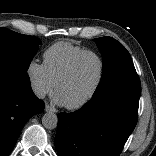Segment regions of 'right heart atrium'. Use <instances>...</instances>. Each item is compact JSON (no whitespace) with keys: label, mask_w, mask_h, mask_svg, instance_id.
Here are the masks:
<instances>
[{"label":"right heart atrium","mask_w":156,"mask_h":156,"mask_svg":"<svg viewBox=\"0 0 156 156\" xmlns=\"http://www.w3.org/2000/svg\"><path fill=\"white\" fill-rule=\"evenodd\" d=\"M26 75L33 93L38 98H43L53 91L55 83L49 76L44 63L31 60L26 67Z\"/></svg>","instance_id":"right-heart-atrium-1"}]
</instances>
